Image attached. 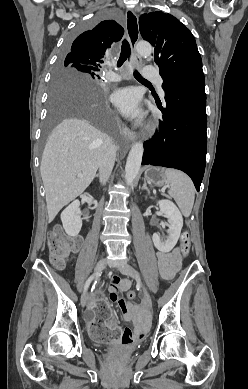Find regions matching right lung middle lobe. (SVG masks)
Segmentation results:
<instances>
[{"label": "right lung middle lobe", "instance_id": "1", "mask_svg": "<svg viewBox=\"0 0 248 389\" xmlns=\"http://www.w3.org/2000/svg\"><path fill=\"white\" fill-rule=\"evenodd\" d=\"M87 27V24H80L78 31H82ZM97 73L87 67L70 66L63 63V59L59 62L55 73V84L57 86L67 85L69 83H88L93 85V80ZM84 117L98 124H101L106 119V113L100 105L89 103H75L71 101H58L52 98L49 106V119L46 130V136L51 129L61 120L70 117Z\"/></svg>", "mask_w": 248, "mask_h": 389}]
</instances>
